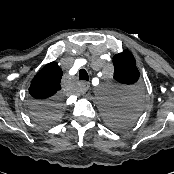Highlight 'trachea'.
I'll return each mask as SVG.
<instances>
[{
    "instance_id": "obj_1",
    "label": "trachea",
    "mask_w": 174,
    "mask_h": 174,
    "mask_svg": "<svg viewBox=\"0 0 174 174\" xmlns=\"http://www.w3.org/2000/svg\"><path fill=\"white\" fill-rule=\"evenodd\" d=\"M79 80L89 81V76L85 69H81L79 71Z\"/></svg>"
}]
</instances>
